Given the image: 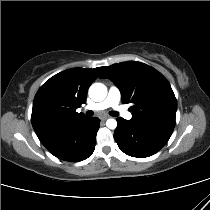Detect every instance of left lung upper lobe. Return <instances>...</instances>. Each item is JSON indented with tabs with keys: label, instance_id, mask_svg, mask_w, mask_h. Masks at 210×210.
Segmentation results:
<instances>
[{
	"label": "left lung upper lobe",
	"instance_id": "1",
	"mask_svg": "<svg viewBox=\"0 0 210 210\" xmlns=\"http://www.w3.org/2000/svg\"><path fill=\"white\" fill-rule=\"evenodd\" d=\"M101 78H109L120 89L122 103H132L135 125L174 129L177 101L167 79L156 69L137 61L103 67Z\"/></svg>",
	"mask_w": 210,
	"mask_h": 210
}]
</instances>
